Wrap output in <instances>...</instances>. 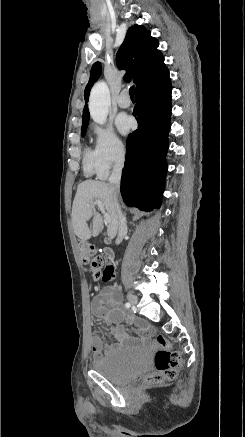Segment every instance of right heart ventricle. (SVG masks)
Masks as SVG:
<instances>
[{
  "label": "right heart ventricle",
  "instance_id": "e07e8e85",
  "mask_svg": "<svg viewBox=\"0 0 245 437\" xmlns=\"http://www.w3.org/2000/svg\"><path fill=\"white\" fill-rule=\"evenodd\" d=\"M83 167L84 171L87 174H92L96 172V164L94 161L93 153L89 149H86L84 152Z\"/></svg>",
  "mask_w": 245,
  "mask_h": 437
}]
</instances>
